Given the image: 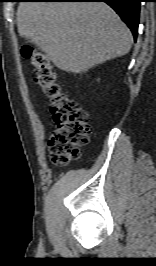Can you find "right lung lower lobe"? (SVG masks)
Here are the masks:
<instances>
[{"label":"right lung lower lobe","instance_id":"right-lung-lower-lobe-1","mask_svg":"<svg viewBox=\"0 0 156 266\" xmlns=\"http://www.w3.org/2000/svg\"><path fill=\"white\" fill-rule=\"evenodd\" d=\"M44 2H105L110 5L128 25L134 40L137 39L140 0H31Z\"/></svg>","mask_w":156,"mask_h":266}]
</instances>
